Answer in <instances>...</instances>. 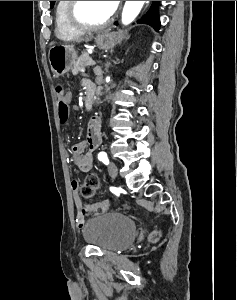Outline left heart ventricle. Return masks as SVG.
<instances>
[{"instance_id":"obj_1","label":"left heart ventricle","mask_w":237,"mask_h":300,"mask_svg":"<svg viewBox=\"0 0 237 300\" xmlns=\"http://www.w3.org/2000/svg\"><path fill=\"white\" fill-rule=\"evenodd\" d=\"M112 14L108 1H81L79 16L88 24H101Z\"/></svg>"}]
</instances>
